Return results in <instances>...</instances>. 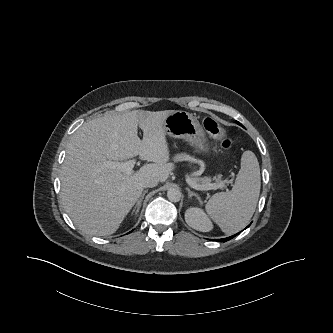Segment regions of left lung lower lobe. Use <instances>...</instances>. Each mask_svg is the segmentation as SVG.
Here are the masks:
<instances>
[{
	"mask_svg": "<svg viewBox=\"0 0 333 333\" xmlns=\"http://www.w3.org/2000/svg\"><path fill=\"white\" fill-rule=\"evenodd\" d=\"M247 227H249V226H247ZM247 227H246V228H247ZM239 233H240V232H239ZM239 233H237V234H235V235H233V236L227 237V238L219 239V240H217V241L226 242V241H228V240L234 238L235 236H237Z\"/></svg>",
	"mask_w": 333,
	"mask_h": 333,
	"instance_id": "1",
	"label": "left lung lower lobe"
}]
</instances>
